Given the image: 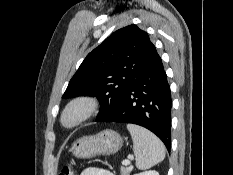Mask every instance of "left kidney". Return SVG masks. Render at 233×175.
Segmentation results:
<instances>
[{
  "label": "left kidney",
  "mask_w": 233,
  "mask_h": 175,
  "mask_svg": "<svg viewBox=\"0 0 233 175\" xmlns=\"http://www.w3.org/2000/svg\"><path fill=\"white\" fill-rule=\"evenodd\" d=\"M134 175H159V173L155 170H149V171L141 172V173L134 174Z\"/></svg>",
  "instance_id": "5707ae66"
}]
</instances>
